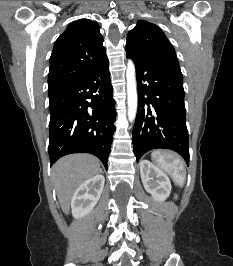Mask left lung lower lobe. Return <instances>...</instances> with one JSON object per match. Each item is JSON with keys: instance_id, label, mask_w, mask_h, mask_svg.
<instances>
[{"instance_id": "left-lung-lower-lobe-1", "label": "left lung lower lobe", "mask_w": 233, "mask_h": 266, "mask_svg": "<svg viewBox=\"0 0 233 266\" xmlns=\"http://www.w3.org/2000/svg\"><path fill=\"white\" fill-rule=\"evenodd\" d=\"M136 65L138 111L132 142L137 162L149 150L171 149L189 165L183 76L179 62L126 50Z\"/></svg>"}]
</instances>
